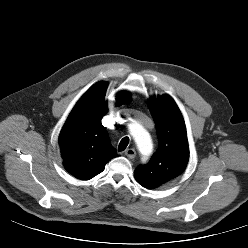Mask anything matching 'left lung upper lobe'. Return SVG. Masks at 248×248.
I'll return each mask as SVG.
<instances>
[{
  "label": "left lung upper lobe",
  "mask_w": 248,
  "mask_h": 248,
  "mask_svg": "<svg viewBox=\"0 0 248 248\" xmlns=\"http://www.w3.org/2000/svg\"><path fill=\"white\" fill-rule=\"evenodd\" d=\"M153 112L159 147L147 164L138 165L135 179L143 187L154 189L177 178L189 160V146L183 116L168 96L149 100Z\"/></svg>",
  "instance_id": "obj_1"
}]
</instances>
